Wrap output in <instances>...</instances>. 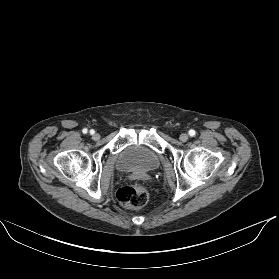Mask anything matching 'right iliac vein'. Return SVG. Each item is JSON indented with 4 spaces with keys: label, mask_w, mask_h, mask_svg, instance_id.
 <instances>
[{
    "label": "right iliac vein",
    "mask_w": 279,
    "mask_h": 279,
    "mask_svg": "<svg viewBox=\"0 0 279 279\" xmlns=\"http://www.w3.org/2000/svg\"><path fill=\"white\" fill-rule=\"evenodd\" d=\"M92 137L94 140H98L100 138V135L98 133H94Z\"/></svg>",
    "instance_id": "obj_1"
}]
</instances>
